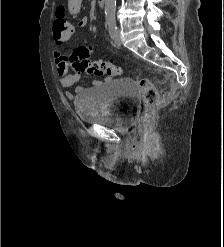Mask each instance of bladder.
<instances>
[{
  "mask_svg": "<svg viewBox=\"0 0 224 247\" xmlns=\"http://www.w3.org/2000/svg\"><path fill=\"white\" fill-rule=\"evenodd\" d=\"M140 100L131 79H111L82 91L75 112L86 124L127 132L135 122Z\"/></svg>",
  "mask_w": 224,
  "mask_h": 247,
  "instance_id": "1",
  "label": "bladder"
}]
</instances>
